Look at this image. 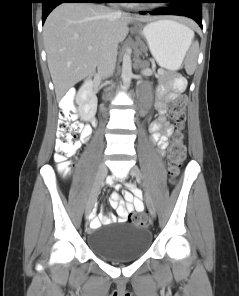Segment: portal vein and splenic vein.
Returning <instances> with one entry per match:
<instances>
[{
  "label": "portal vein and splenic vein",
  "instance_id": "obj_1",
  "mask_svg": "<svg viewBox=\"0 0 239 296\" xmlns=\"http://www.w3.org/2000/svg\"><path fill=\"white\" fill-rule=\"evenodd\" d=\"M88 49H89V50H91V49H92V47H91V46H89V47H88Z\"/></svg>",
  "mask_w": 239,
  "mask_h": 296
}]
</instances>
